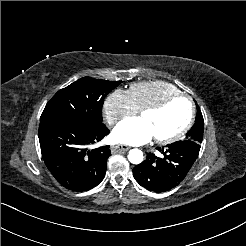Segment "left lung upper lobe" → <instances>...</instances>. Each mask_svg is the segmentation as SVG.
<instances>
[{
    "label": "left lung upper lobe",
    "instance_id": "left-lung-upper-lobe-1",
    "mask_svg": "<svg viewBox=\"0 0 246 246\" xmlns=\"http://www.w3.org/2000/svg\"><path fill=\"white\" fill-rule=\"evenodd\" d=\"M197 105V116L195 119V124L192 126L191 130L187 133L184 140H191L198 144L202 142L203 139V132H204V120L201 113L200 108L198 107L197 102L195 101Z\"/></svg>",
    "mask_w": 246,
    "mask_h": 246
}]
</instances>
